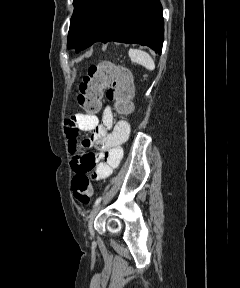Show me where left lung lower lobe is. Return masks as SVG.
Segmentation results:
<instances>
[{
  "instance_id": "1",
  "label": "left lung lower lobe",
  "mask_w": 240,
  "mask_h": 288,
  "mask_svg": "<svg viewBox=\"0 0 240 288\" xmlns=\"http://www.w3.org/2000/svg\"><path fill=\"white\" fill-rule=\"evenodd\" d=\"M163 31L159 0H109L100 21L80 50L95 42L115 41L146 45L160 52Z\"/></svg>"
}]
</instances>
